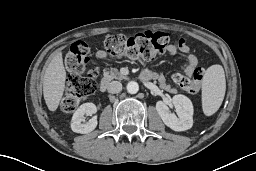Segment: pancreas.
<instances>
[{
  "label": "pancreas",
  "instance_id": "1",
  "mask_svg": "<svg viewBox=\"0 0 256 171\" xmlns=\"http://www.w3.org/2000/svg\"><path fill=\"white\" fill-rule=\"evenodd\" d=\"M117 70L116 69H104L103 71V81H110L112 79H119V80H122L124 79V76L121 75V74H117L116 73Z\"/></svg>",
  "mask_w": 256,
  "mask_h": 171
}]
</instances>
